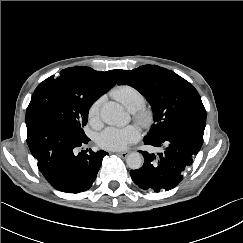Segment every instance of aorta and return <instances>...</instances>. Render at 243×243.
<instances>
[{
    "instance_id": "obj_1",
    "label": "aorta",
    "mask_w": 243,
    "mask_h": 243,
    "mask_svg": "<svg viewBox=\"0 0 243 243\" xmlns=\"http://www.w3.org/2000/svg\"><path fill=\"white\" fill-rule=\"evenodd\" d=\"M100 116L103 122L108 125L123 126L129 121L122 106L116 102L105 103L101 108ZM126 163L133 170L140 169L143 165V156L139 152H132L127 156Z\"/></svg>"
}]
</instances>
